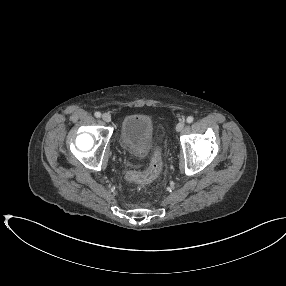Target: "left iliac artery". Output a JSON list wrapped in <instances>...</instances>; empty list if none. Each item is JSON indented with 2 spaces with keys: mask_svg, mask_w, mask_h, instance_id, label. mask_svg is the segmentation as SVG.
Here are the masks:
<instances>
[{
  "mask_svg": "<svg viewBox=\"0 0 286 286\" xmlns=\"http://www.w3.org/2000/svg\"><path fill=\"white\" fill-rule=\"evenodd\" d=\"M194 118L192 116L187 117L186 121L187 123H192Z\"/></svg>",
  "mask_w": 286,
  "mask_h": 286,
  "instance_id": "left-iliac-artery-1",
  "label": "left iliac artery"
}]
</instances>
